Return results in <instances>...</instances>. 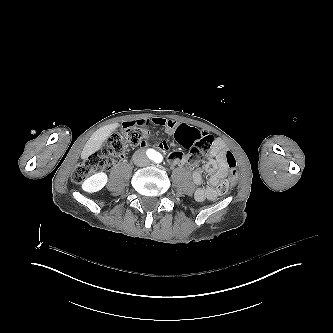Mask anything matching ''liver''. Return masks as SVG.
<instances>
[{
    "mask_svg": "<svg viewBox=\"0 0 333 333\" xmlns=\"http://www.w3.org/2000/svg\"><path fill=\"white\" fill-rule=\"evenodd\" d=\"M119 126L120 123H113L97 129L86 142L80 156L81 160L85 161L92 154L101 150L103 144L113 135Z\"/></svg>",
    "mask_w": 333,
    "mask_h": 333,
    "instance_id": "obj_1",
    "label": "liver"
}]
</instances>
